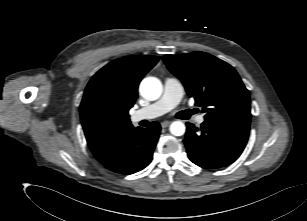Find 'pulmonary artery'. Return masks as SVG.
Here are the masks:
<instances>
[{"label":"pulmonary artery","instance_id":"pulmonary-artery-1","mask_svg":"<svg viewBox=\"0 0 307 221\" xmlns=\"http://www.w3.org/2000/svg\"><path fill=\"white\" fill-rule=\"evenodd\" d=\"M183 94L184 90L178 78H165L162 96L156 102L135 111L131 116L132 121L149 120L164 115L180 103ZM204 121L203 115L196 117L198 124H202Z\"/></svg>","mask_w":307,"mask_h":221}]
</instances>
